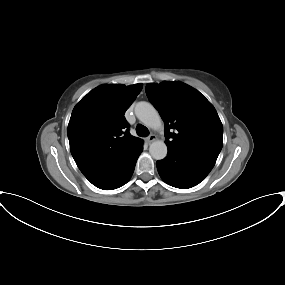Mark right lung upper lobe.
Here are the masks:
<instances>
[{
    "label": "right lung upper lobe",
    "mask_w": 285,
    "mask_h": 285,
    "mask_svg": "<svg viewBox=\"0 0 285 285\" xmlns=\"http://www.w3.org/2000/svg\"><path fill=\"white\" fill-rule=\"evenodd\" d=\"M141 89L142 84L101 85L74 107L67 130L70 151L87 179L142 142L129 133L124 117Z\"/></svg>",
    "instance_id": "obj_1"
}]
</instances>
